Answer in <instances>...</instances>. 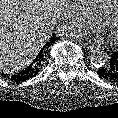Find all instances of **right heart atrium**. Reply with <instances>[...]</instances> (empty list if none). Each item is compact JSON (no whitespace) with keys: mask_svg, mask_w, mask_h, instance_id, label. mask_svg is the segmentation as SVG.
Segmentation results:
<instances>
[{"mask_svg":"<svg viewBox=\"0 0 118 118\" xmlns=\"http://www.w3.org/2000/svg\"><path fill=\"white\" fill-rule=\"evenodd\" d=\"M65 18L72 29L93 25V18L85 11L79 0H71Z\"/></svg>","mask_w":118,"mask_h":118,"instance_id":"1","label":"right heart atrium"}]
</instances>
